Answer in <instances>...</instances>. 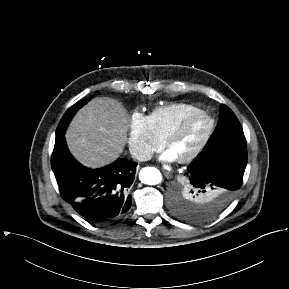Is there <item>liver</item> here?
<instances>
[{
	"instance_id": "6515ba94",
	"label": "liver",
	"mask_w": 289,
	"mask_h": 289,
	"mask_svg": "<svg viewBox=\"0 0 289 289\" xmlns=\"http://www.w3.org/2000/svg\"><path fill=\"white\" fill-rule=\"evenodd\" d=\"M129 121L127 110L117 100L94 98L72 119L65 134L68 148L86 167L108 165L123 152Z\"/></svg>"
}]
</instances>
